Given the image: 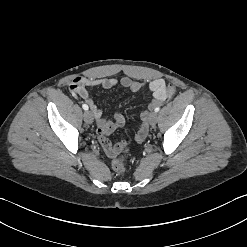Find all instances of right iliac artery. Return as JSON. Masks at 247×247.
<instances>
[{"mask_svg": "<svg viewBox=\"0 0 247 247\" xmlns=\"http://www.w3.org/2000/svg\"><path fill=\"white\" fill-rule=\"evenodd\" d=\"M82 108H83L84 110H88V109H89L88 105H86V104H83V105H82Z\"/></svg>", "mask_w": 247, "mask_h": 247, "instance_id": "right-iliac-artery-1", "label": "right iliac artery"}]
</instances>
